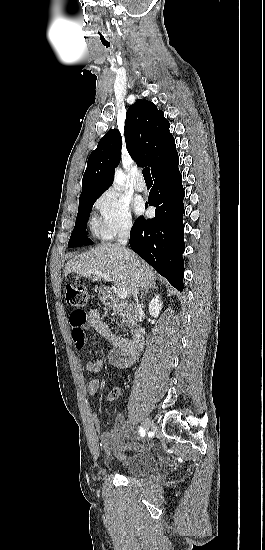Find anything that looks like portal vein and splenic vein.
<instances>
[{
  "mask_svg": "<svg viewBox=\"0 0 265 550\" xmlns=\"http://www.w3.org/2000/svg\"><path fill=\"white\" fill-rule=\"evenodd\" d=\"M93 274H95V275L101 277L102 279H104V280H106V281H112V278H111L109 275H107V274H103V273H101V272H93ZM117 295H118V297H120L121 299H125V298L128 296L127 292H126L125 290H123V289H117Z\"/></svg>",
  "mask_w": 265,
  "mask_h": 550,
  "instance_id": "1",
  "label": "portal vein and splenic vein"
}]
</instances>
